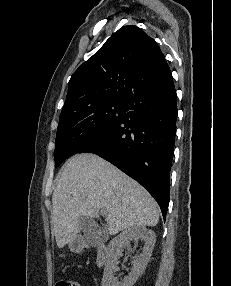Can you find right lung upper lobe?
<instances>
[{
  "label": "right lung upper lobe",
  "mask_w": 231,
  "mask_h": 286,
  "mask_svg": "<svg viewBox=\"0 0 231 286\" xmlns=\"http://www.w3.org/2000/svg\"><path fill=\"white\" fill-rule=\"evenodd\" d=\"M171 74L157 43L137 26H124L71 76L60 117L107 101H124L142 85Z\"/></svg>",
  "instance_id": "right-lung-upper-lobe-1"
}]
</instances>
